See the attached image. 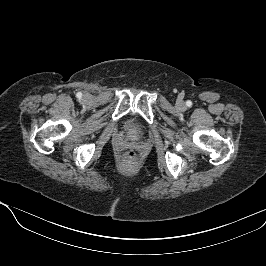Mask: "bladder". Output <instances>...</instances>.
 <instances>
[{
  "label": "bladder",
  "mask_w": 266,
  "mask_h": 266,
  "mask_svg": "<svg viewBox=\"0 0 266 266\" xmlns=\"http://www.w3.org/2000/svg\"><path fill=\"white\" fill-rule=\"evenodd\" d=\"M129 128H130L131 130L135 131V132H137V131L139 130L138 125H137L135 122H133V121H131V122L129 123Z\"/></svg>",
  "instance_id": "31cf9c89"
}]
</instances>
